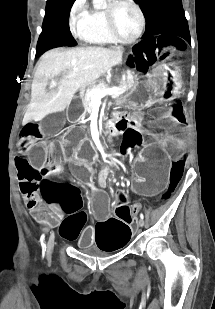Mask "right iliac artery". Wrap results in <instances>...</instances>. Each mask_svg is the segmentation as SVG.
Segmentation results:
<instances>
[{
  "mask_svg": "<svg viewBox=\"0 0 215 309\" xmlns=\"http://www.w3.org/2000/svg\"><path fill=\"white\" fill-rule=\"evenodd\" d=\"M40 241H41L42 249L45 252L46 251L45 234H42Z\"/></svg>",
  "mask_w": 215,
  "mask_h": 309,
  "instance_id": "obj_1",
  "label": "right iliac artery"
}]
</instances>
